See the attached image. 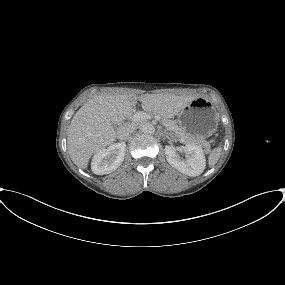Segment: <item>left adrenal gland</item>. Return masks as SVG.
Returning <instances> with one entry per match:
<instances>
[{"label":"left adrenal gland","mask_w":285,"mask_h":285,"mask_svg":"<svg viewBox=\"0 0 285 285\" xmlns=\"http://www.w3.org/2000/svg\"><path fill=\"white\" fill-rule=\"evenodd\" d=\"M161 134L165 137H168L166 132H162Z\"/></svg>","instance_id":"left-adrenal-gland-1"}]
</instances>
